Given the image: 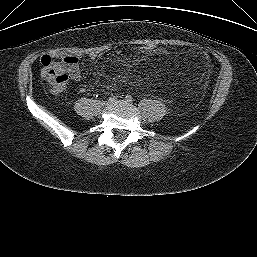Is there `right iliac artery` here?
I'll return each mask as SVG.
<instances>
[{
  "mask_svg": "<svg viewBox=\"0 0 257 257\" xmlns=\"http://www.w3.org/2000/svg\"><path fill=\"white\" fill-rule=\"evenodd\" d=\"M116 100H117V97L114 96V95H112V96L109 97V101H110V102H115Z\"/></svg>",
  "mask_w": 257,
  "mask_h": 257,
  "instance_id": "right-iliac-artery-1",
  "label": "right iliac artery"
}]
</instances>
